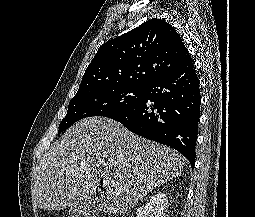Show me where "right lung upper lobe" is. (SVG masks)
I'll list each match as a JSON object with an SVG mask.
<instances>
[{
  "label": "right lung upper lobe",
  "instance_id": "1",
  "mask_svg": "<svg viewBox=\"0 0 255 217\" xmlns=\"http://www.w3.org/2000/svg\"><path fill=\"white\" fill-rule=\"evenodd\" d=\"M191 61L169 23L151 19L103 44L87 67L78 91L109 86H147Z\"/></svg>",
  "mask_w": 255,
  "mask_h": 217
}]
</instances>
